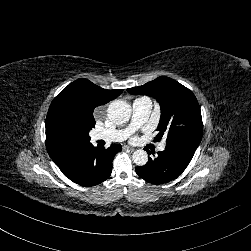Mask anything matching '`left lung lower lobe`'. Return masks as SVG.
<instances>
[{
	"mask_svg": "<svg viewBox=\"0 0 251 251\" xmlns=\"http://www.w3.org/2000/svg\"><path fill=\"white\" fill-rule=\"evenodd\" d=\"M196 147L183 143L166 145L154 158H149L144 166L136 167V173L146 182L163 184L177 178L190 163ZM150 154L149 150H147Z\"/></svg>",
	"mask_w": 251,
	"mask_h": 251,
	"instance_id": "left-lung-lower-lobe-1",
	"label": "left lung lower lobe"
}]
</instances>
